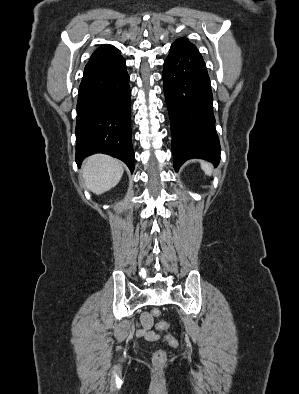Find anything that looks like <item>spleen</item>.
<instances>
[{"label": "spleen", "instance_id": "obj_1", "mask_svg": "<svg viewBox=\"0 0 299 394\" xmlns=\"http://www.w3.org/2000/svg\"><path fill=\"white\" fill-rule=\"evenodd\" d=\"M202 170L205 172L206 175L211 176L213 172V167L209 162L201 161L200 162Z\"/></svg>", "mask_w": 299, "mask_h": 394}]
</instances>
